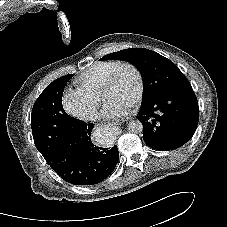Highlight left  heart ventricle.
<instances>
[{
  "label": "left heart ventricle",
  "instance_id": "1",
  "mask_svg": "<svg viewBox=\"0 0 227 227\" xmlns=\"http://www.w3.org/2000/svg\"><path fill=\"white\" fill-rule=\"evenodd\" d=\"M137 90V79L135 73L130 69H125L120 74L113 87L106 90L102 99L107 101L116 100L132 103Z\"/></svg>",
  "mask_w": 227,
  "mask_h": 227
}]
</instances>
